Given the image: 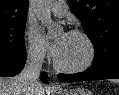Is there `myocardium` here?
I'll return each mask as SVG.
<instances>
[{
	"label": "myocardium",
	"instance_id": "1",
	"mask_svg": "<svg viewBox=\"0 0 119 95\" xmlns=\"http://www.w3.org/2000/svg\"><path fill=\"white\" fill-rule=\"evenodd\" d=\"M70 34L80 36L86 43L87 48H88V56L86 60L78 65V66H73V67H67L61 65L56 57L54 58V67L56 70L63 72V73H68V74H76V73H81L86 70H88L94 63L95 57H96V47L91 39V37L84 31L79 30V29H73L69 32Z\"/></svg>",
	"mask_w": 119,
	"mask_h": 95
}]
</instances>
